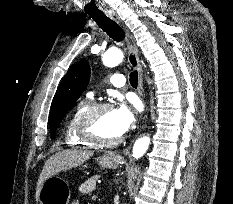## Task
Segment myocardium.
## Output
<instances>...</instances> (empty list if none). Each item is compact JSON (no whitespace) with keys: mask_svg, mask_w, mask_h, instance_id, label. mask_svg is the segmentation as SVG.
Returning <instances> with one entry per match:
<instances>
[{"mask_svg":"<svg viewBox=\"0 0 233 204\" xmlns=\"http://www.w3.org/2000/svg\"><path fill=\"white\" fill-rule=\"evenodd\" d=\"M112 106L109 103H94L89 105L81 115L78 132L82 139L95 146L110 147L119 144L122 137L115 139H102L94 132V125L98 115Z\"/></svg>","mask_w":233,"mask_h":204,"instance_id":"f54148a6","label":"myocardium"}]
</instances>
